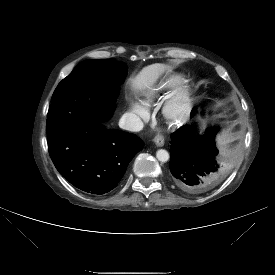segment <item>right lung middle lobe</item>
I'll list each match as a JSON object with an SVG mask.
<instances>
[{"mask_svg": "<svg viewBox=\"0 0 275 275\" xmlns=\"http://www.w3.org/2000/svg\"><path fill=\"white\" fill-rule=\"evenodd\" d=\"M126 66L113 59L85 60L55 89L47 114L46 132L84 121H107L115 98L109 88L126 74Z\"/></svg>", "mask_w": 275, "mask_h": 275, "instance_id": "1", "label": "right lung middle lobe"}]
</instances>
